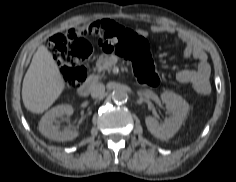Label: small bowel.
I'll return each instance as SVG.
<instances>
[{
  "mask_svg": "<svg viewBox=\"0 0 236 182\" xmlns=\"http://www.w3.org/2000/svg\"><path fill=\"white\" fill-rule=\"evenodd\" d=\"M152 31L154 33L177 34L179 40L184 44L183 56L185 58L193 57L198 63L195 68H186L178 71L176 78L180 83L189 85L195 94L200 96L207 95L211 89V68L201 42L177 31L170 25H154L152 26Z\"/></svg>",
  "mask_w": 236,
  "mask_h": 182,
  "instance_id": "c3829d8e",
  "label": "small bowel"
}]
</instances>
